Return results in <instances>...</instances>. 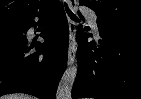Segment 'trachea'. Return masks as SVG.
<instances>
[{"label": "trachea", "instance_id": "1", "mask_svg": "<svg viewBox=\"0 0 141 99\" xmlns=\"http://www.w3.org/2000/svg\"><path fill=\"white\" fill-rule=\"evenodd\" d=\"M65 9L70 18L74 21H79V19L72 13V11L68 8V5L65 3Z\"/></svg>", "mask_w": 141, "mask_h": 99}]
</instances>
